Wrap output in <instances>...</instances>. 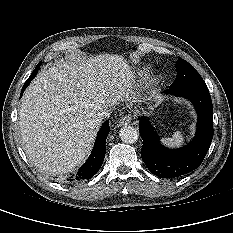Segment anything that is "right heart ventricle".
Instances as JSON below:
<instances>
[{
	"label": "right heart ventricle",
	"mask_w": 233,
	"mask_h": 233,
	"mask_svg": "<svg viewBox=\"0 0 233 233\" xmlns=\"http://www.w3.org/2000/svg\"><path fill=\"white\" fill-rule=\"evenodd\" d=\"M150 70L151 67L148 65L141 66L135 69L131 76L134 78H143L149 74Z\"/></svg>",
	"instance_id": "obj_1"
}]
</instances>
